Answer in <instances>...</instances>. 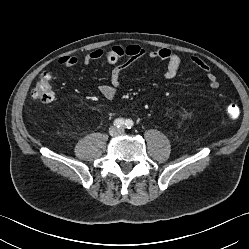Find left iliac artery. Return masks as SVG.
<instances>
[{
	"mask_svg": "<svg viewBox=\"0 0 249 249\" xmlns=\"http://www.w3.org/2000/svg\"><path fill=\"white\" fill-rule=\"evenodd\" d=\"M133 121L132 120H130V119H128V120H126V122H125V127L127 128V129H131L132 127H133Z\"/></svg>",
	"mask_w": 249,
	"mask_h": 249,
	"instance_id": "obj_1",
	"label": "left iliac artery"
}]
</instances>
